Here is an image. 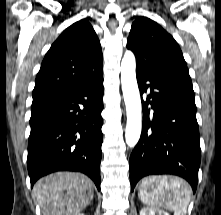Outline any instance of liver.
I'll list each match as a JSON object with an SVG mask.
<instances>
[{
  "instance_id": "obj_1",
  "label": "liver",
  "mask_w": 221,
  "mask_h": 215,
  "mask_svg": "<svg viewBox=\"0 0 221 215\" xmlns=\"http://www.w3.org/2000/svg\"><path fill=\"white\" fill-rule=\"evenodd\" d=\"M43 215H77L93 200V182L77 172H57L41 178L33 189Z\"/></svg>"
}]
</instances>
